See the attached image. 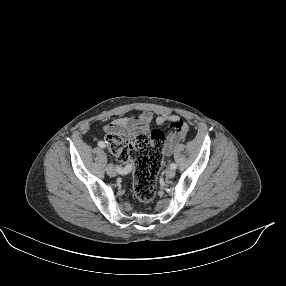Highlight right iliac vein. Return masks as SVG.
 Listing matches in <instances>:
<instances>
[{
	"label": "right iliac vein",
	"mask_w": 286,
	"mask_h": 286,
	"mask_svg": "<svg viewBox=\"0 0 286 286\" xmlns=\"http://www.w3.org/2000/svg\"><path fill=\"white\" fill-rule=\"evenodd\" d=\"M106 171H107V174H108L109 176H115V175H116V169H115L114 165H112V164H109V165L107 166Z\"/></svg>",
	"instance_id": "1"
}]
</instances>
